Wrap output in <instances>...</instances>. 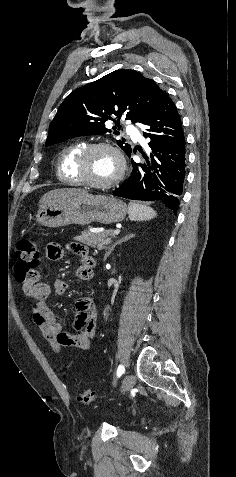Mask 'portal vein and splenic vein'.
<instances>
[{
    "mask_svg": "<svg viewBox=\"0 0 236 477\" xmlns=\"http://www.w3.org/2000/svg\"><path fill=\"white\" fill-rule=\"evenodd\" d=\"M118 234H120V230H119V229H116V230L113 231V235H114V236H115V235H118Z\"/></svg>",
    "mask_w": 236,
    "mask_h": 477,
    "instance_id": "obj_1",
    "label": "portal vein and splenic vein"
}]
</instances>
